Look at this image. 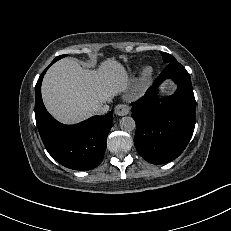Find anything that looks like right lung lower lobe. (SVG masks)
<instances>
[{"label": "right lung lower lobe", "mask_w": 231, "mask_h": 231, "mask_svg": "<svg viewBox=\"0 0 231 231\" xmlns=\"http://www.w3.org/2000/svg\"><path fill=\"white\" fill-rule=\"evenodd\" d=\"M35 87L36 124L48 153L61 165L74 170H91L103 160L107 135L113 126V112L94 116L76 125H63L45 109L41 98V83L47 69Z\"/></svg>", "instance_id": "obj_1"}]
</instances>
